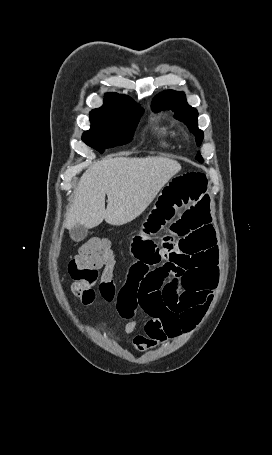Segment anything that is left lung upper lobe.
<instances>
[{
  "label": "left lung upper lobe",
  "mask_w": 272,
  "mask_h": 455,
  "mask_svg": "<svg viewBox=\"0 0 272 455\" xmlns=\"http://www.w3.org/2000/svg\"><path fill=\"white\" fill-rule=\"evenodd\" d=\"M151 108L154 112L172 110L174 117L184 122L189 130L196 136V143L200 146L203 139V131L198 128L197 110L188 105L183 92L167 90L159 93L153 100ZM199 162H203L200 154L196 156Z\"/></svg>",
  "instance_id": "1"
}]
</instances>
